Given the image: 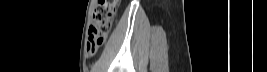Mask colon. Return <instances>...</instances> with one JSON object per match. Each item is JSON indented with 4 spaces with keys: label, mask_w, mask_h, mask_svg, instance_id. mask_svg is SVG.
Here are the masks:
<instances>
[{
    "label": "colon",
    "mask_w": 267,
    "mask_h": 72,
    "mask_svg": "<svg viewBox=\"0 0 267 72\" xmlns=\"http://www.w3.org/2000/svg\"><path fill=\"white\" fill-rule=\"evenodd\" d=\"M119 3V0L97 1L93 12L94 23L88 32V43L92 51L104 44L117 13Z\"/></svg>",
    "instance_id": "1"
}]
</instances>
